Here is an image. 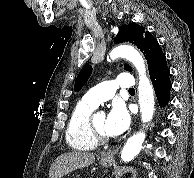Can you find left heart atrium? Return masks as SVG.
<instances>
[{
	"mask_svg": "<svg viewBox=\"0 0 194 178\" xmlns=\"http://www.w3.org/2000/svg\"><path fill=\"white\" fill-rule=\"evenodd\" d=\"M130 125V116L126 108L116 103L111 108L105 120V133L109 136H118L125 132Z\"/></svg>",
	"mask_w": 194,
	"mask_h": 178,
	"instance_id": "obj_1",
	"label": "left heart atrium"
}]
</instances>
